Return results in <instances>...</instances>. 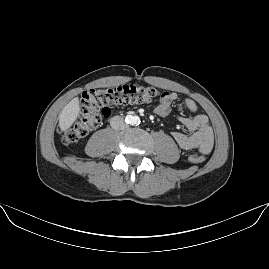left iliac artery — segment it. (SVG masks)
Returning <instances> with one entry per match:
<instances>
[{
  "instance_id": "obj_1",
  "label": "left iliac artery",
  "mask_w": 269,
  "mask_h": 269,
  "mask_svg": "<svg viewBox=\"0 0 269 269\" xmlns=\"http://www.w3.org/2000/svg\"><path fill=\"white\" fill-rule=\"evenodd\" d=\"M140 119H139V117L138 116H135L134 118H133V125H139L140 124Z\"/></svg>"
}]
</instances>
